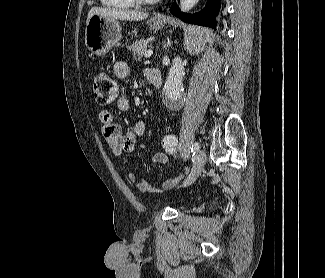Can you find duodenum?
Segmentation results:
<instances>
[{"instance_id":"1","label":"duodenum","mask_w":325,"mask_h":278,"mask_svg":"<svg viewBox=\"0 0 325 278\" xmlns=\"http://www.w3.org/2000/svg\"><path fill=\"white\" fill-rule=\"evenodd\" d=\"M147 78L149 82L157 89L162 87V75L157 70H148Z\"/></svg>"}]
</instances>
